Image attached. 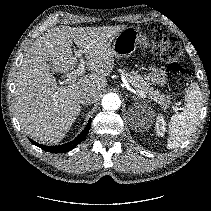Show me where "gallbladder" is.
Returning <instances> with one entry per match:
<instances>
[{
	"mask_svg": "<svg viewBox=\"0 0 211 211\" xmlns=\"http://www.w3.org/2000/svg\"><path fill=\"white\" fill-rule=\"evenodd\" d=\"M47 63H48L49 70L54 73L55 70H54V67L52 66V64L50 62H47Z\"/></svg>",
	"mask_w": 211,
	"mask_h": 211,
	"instance_id": "1",
	"label": "gallbladder"
}]
</instances>
